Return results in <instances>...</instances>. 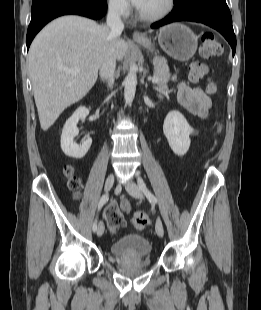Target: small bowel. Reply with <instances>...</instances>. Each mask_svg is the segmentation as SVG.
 Wrapping results in <instances>:
<instances>
[{
	"mask_svg": "<svg viewBox=\"0 0 261 310\" xmlns=\"http://www.w3.org/2000/svg\"><path fill=\"white\" fill-rule=\"evenodd\" d=\"M165 89L160 88V93L163 94ZM178 101L192 115L199 118H205L211 108V99L199 87H191L185 82L178 83ZM121 212L129 213L131 206L128 200L123 199L119 204ZM106 215V213H105ZM123 215V214H122ZM124 220V219H123ZM120 228V227H119Z\"/></svg>",
	"mask_w": 261,
	"mask_h": 310,
	"instance_id": "small-bowel-1",
	"label": "small bowel"
}]
</instances>
